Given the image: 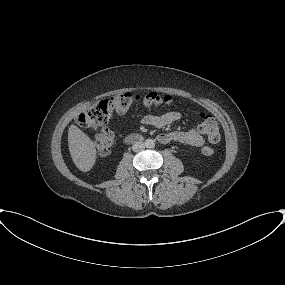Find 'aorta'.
<instances>
[{
    "label": "aorta",
    "instance_id": "1",
    "mask_svg": "<svg viewBox=\"0 0 285 285\" xmlns=\"http://www.w3.org/2000/svg\"><path fill=\"white\" fill-rule=\"evenodd\" d=\"M155 145L154 140L153 139H146L145 140V146L147 148H153Z\"/></svg>",
    "mask_w": 285,
    "mask_h": 285
}]
</instances>
